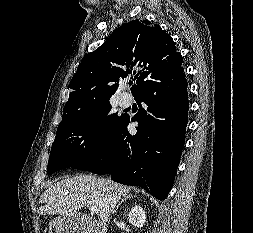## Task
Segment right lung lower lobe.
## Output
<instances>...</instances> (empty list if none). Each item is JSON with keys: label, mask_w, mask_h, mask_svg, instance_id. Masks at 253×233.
I'll return each instance as SVG.
<instances>
[{"label": "right lung lower lobe", "mask_w": 253, "mask_h": 233, "mask_svg": "<svg viewBox=\"0 0 253 233\" xmlns=\"http://www.w3.org/2000/svg\"><path fill=\"white\" fill-rule=\"evenodd\" d=\"M140 105L124 116L107 145L72 168L109 174L115 182L140 186L164 200L174 183L185 140L188 117L187 80L182 66L143 87L135 96ZM137 121V133L127 131Z\"/></svg>", "instance_id": "98d812e1"}]
</instances>
